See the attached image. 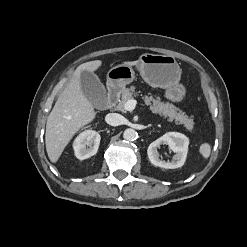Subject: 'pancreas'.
<instances>
[{
  "mask_svg": "<svg viewBox=\"0 0 247 247\" xmlns=\"http://www.w3.org/2000/svg\"><path fill=\"white\" fill-rule=\"evenodd\" d=\"M136 87L130 86L129 88H125L122 91V97L119 103L116 106V110L125 112L124 105L128 100H132L133 97L137 96L135 92ZM150 94V93H149ZM144 102L147 105H150L151 110L154 113H158L164 117H168L170 121L176 120L178 124H182L186 127V129L190 132L194 129L193 119L189 118L184 112L180 111L174 105L166 102H161L159 97H154L153 95L144 96Z\"/></svg>",
  "mask_w": 247,
  "mask_h": 247,
  "instance_id": "obj_1",
  "label": "pancreas"
}]
</instances>
